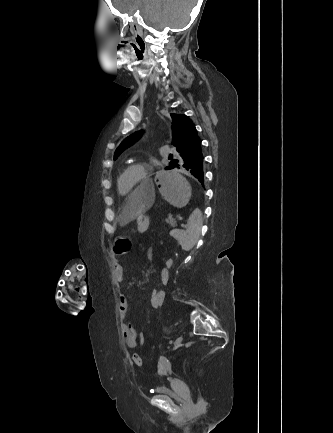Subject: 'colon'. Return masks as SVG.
I'll return each instance as SVG.
<instances>
[{
    "label": "colon",
    "mask_w": 333,
    "mask_h": 433,
    "mask_svg": "<svg viewBox=\"0 0 333 433\" xmlns=\"http://www.w3.org/2000/svg\"><path fill=\"white\" fill-rule=\"evenodd\" d=\"M112 245L117 255H120V253H125L131 248V238L130 236H115ZM164 265L167 267V269H170V267L173 265V262L170 260V258H167V260L164 262ZM159 297L160 294L157 292V290L151 289V297L149 302L151 307L154 308V311H157V309L162 306V303L159 301ZM132 362L134 365L140 367L142 365V359L140 355L137 353L133 354Z\"/></svg>",
    "instance_id": "colon-1"
}]
</instances>
